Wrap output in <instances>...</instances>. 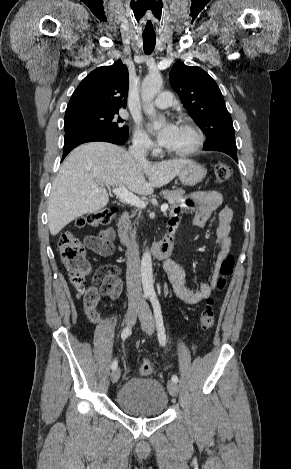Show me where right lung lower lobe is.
<instances>
[{"label": "right lung lower lobe", "instance_id": "98d812e1", "mask_svg": "<svg viewBox=\"0 0 291 469\" xmlns=\"http://www.w3.org/2000/svg\"><path fill=\"white\" fill-rule=\"evenodd\" d=\"M127 138L128 131L108 132L101 130L80 129L66 132L62 160L72 149L82 143L104 141L120 145L124 144L127 141Z\"/></svg>", "mask_w": 291, "mask_h": 469}]
</instances>
